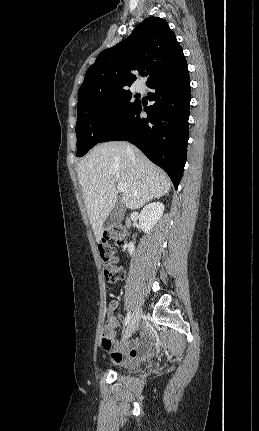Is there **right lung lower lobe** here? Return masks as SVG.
<instances>
[{
  "label": "right lung lower lobe",
  "instance_id": "right-lung-lower-lobe-1",
  "mask_svg": "<svg viewBox=\"0 0 259 431\" xmlns=\"http://www.w3.org/2000/svg\"><path fill=\"white\" fill-rule=\"evenodd\" d=\"M187 67L185 63L147 85L154 90L148 96L154 104L143 108L139 102L102 140H125L136 145L167 172L176 189L183 175L189 138L191 90Z\"/></svg>",
  "mask_w": 259,
  "mask_h": 431
}]
</instances>
